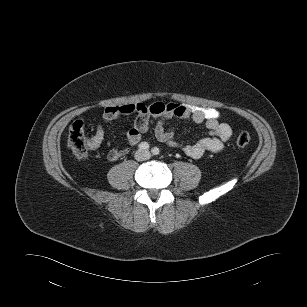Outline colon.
<instances>
[{
    "label": "colon",
    "instance_id": "colon-1",
    "mask_svg": "<svg viewBox=\"0 0 307 307\" xmlns=\"http://www.w3.org/2000/svg\"><path fill=\"white\" fill-rule=\"evenodd\" d=\"M251 141L248 133L242 132L237 135L235 143L238 147H245ZM68 144L77 158H85L91 149L89 126L83 121H76L69 129Z\"/></svg>",
    "mask_w": 307,
    "mask_h": 307
}]
</instances>
